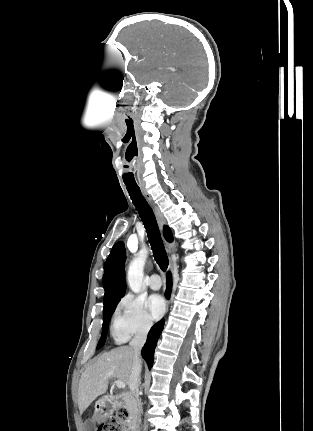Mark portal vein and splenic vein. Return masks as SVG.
<instances>
[{
	"label": "portal vein and splenic vein",
	"instance_id": "1",
	"mask_svg": "<svg viewBox=\"0 0 313 431\" xmlns=\"http://www.w3.org/2000/svg\"><path fill=\"white\" fill-rule=\"evenodd\" d=\"M115 384H116V387L119 388V389H123V388L126 387V384L123 381H120V380H117L115 382Z\"/></svg>",
	"mask_w": 313,
	"mask_h": 431
}]
</instances>
